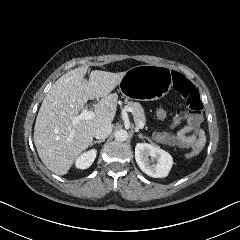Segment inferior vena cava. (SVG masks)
I'll return each mask as SVG.
<instances>
[{
    "label": "inferior vena cava",
    "mask_w": 240,
    "mask_h": 240,
    "mask_svg": "<svg viewBox=\"0 0 240 240\" xmlns=\"http://www.w3.org/2000/svg\"><path fill=\"white\" fill-rule=\"evenodd\" d=\"M112 129L113 125L111 123L104 124L95 130L94 137L96 139L104 140L111 134Z\"/></svg>",
    "instance_id": "1"
}]
</instances>
